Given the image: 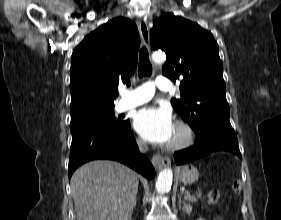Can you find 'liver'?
Returning a JSON list of instances; mask_svg holds the SVG:
<instances>
[{"label":"liver","mask_w":281,"mask_h":220,"mask_svg":"<svg viewBox=\"0 0 281 220\" xmlns=\"http://www.w3.org/2000/svg\"><path fill=\"white\" fill-rule=\"evenodd\" d=\"M138 175L109 160L79 167L70 185L78 220H131L138 193Z\"/></svg>","instance_id":"6515ba94"}]
</instances>
